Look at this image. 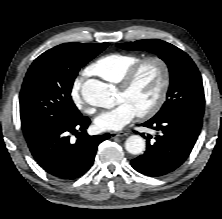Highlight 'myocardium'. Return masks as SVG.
<instances>
[{"label":"myocardium","mask_w":222,"mask_h":219,"mask_svg":"<svg viewBox=\"0 0 222 219\" xmlns=\"http://www.w3.org/2000/svg\"><path fill=\"white\" fill-rule=\"evenodd\" d=\"M148 63H153L158 67L160 71L161 83H160L159 92L154 102L147 109L137 113V115L140 118L144 119L150 118L153 115H155L161 109L166 100L170 86V68L168 63L160 56L157 55L147 56L136 62L125 73V75L118 83L122 91H128L134 84L142 68Z\"/></svg>","instance_id":"myocardium-1"}]
</instances>
